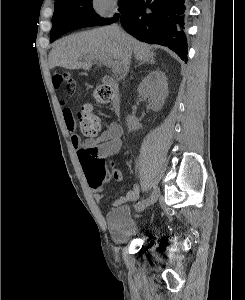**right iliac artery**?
Wrapping results in <instances>:
<instances>
[{"mask_svg": "<svg viewBox=\"0 0 245 300\" xmlns=\"http://www.w3.org/2000/svg\"><path fill=\"white\" fill-rule=\"evenodd\" d=\"M137 205H143V202L140 200L139 202H137Z\"/></svg>", "mask_w": 245, "mask_h": 300, "instance_id": "82829eb1", "label": "right iliac artery"}]
</instances>
